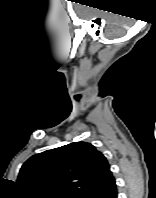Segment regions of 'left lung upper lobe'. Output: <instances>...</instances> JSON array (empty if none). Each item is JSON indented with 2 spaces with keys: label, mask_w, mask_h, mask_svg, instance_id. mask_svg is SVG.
<instances>
[{
  "label": "left lung upper lobe",
  "mask_w": 156,
  "mask_h": 198,
  "mask_svg": "<svg viewBox=\"0 0 156 198\" xmlns=\"http://www.w3.org/2000/svg\"><path fill=\"white\" fill-rule=\"evenodd\" d=\"M104 155L87 142H74L29 158L17 183L27 198H86L110 176Z\"/></svg>",
  "instance_id": "obj_1"
}]
</instances>
